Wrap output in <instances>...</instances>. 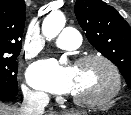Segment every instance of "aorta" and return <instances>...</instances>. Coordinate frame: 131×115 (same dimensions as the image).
<instances>
[{"label":"aorta","instance_id":"1","mask_svg":"<svg viewBox=\"0 0 131 115\" xmlns=\"http://www.w3.org/2000/svg\"><path fill=\"white\" fill-rule=\"evenodd\" d=\"M66 23L65 16L62 12H51L42 23V33L47 40L55 38L64 28Z\"/></svg>","mask_w":131,"mask_h":115}]
</instances>
